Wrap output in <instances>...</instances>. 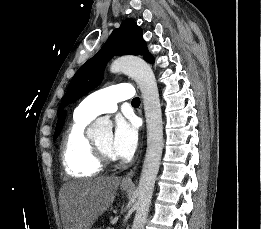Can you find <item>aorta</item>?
I'll return each mask as SVG.
<instances>
[{"label":"aorta","instance_id":"762f6f07","mask_svg":"<svg viewBox=\"0 0 261 229\" xmlns=\"http://www.w3.org/2000/svg\"><path fill=\"white\" fill-rule=\"evenodd\" d=\"M110 70L132 76L139 84L143 96L147 125V151L136 189V213L132 229H144L163 151V123L159 92L151 66L139 56H120L113 60ZM87 137L88 139L94 137V141L105 139V137L112 139V121L109 117L97 119L87 133Z\"/></svg>","mask_w":261,"mask_h":229}]
</instances>
